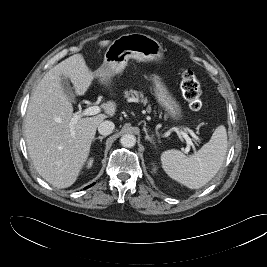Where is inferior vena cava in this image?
Instances as JSON below:
<instances>
[{"label":"inferior vena cava","mask_w":267,"mask_h":267,"mask_svg":"<svg viewBox=\"0 0 267 267\" xmlns=\"http://www.w3.org/2000/svg\"><path fill=\"white\" fill-rule=\"evenodd\" d=\"M115 128V125L113 122L111 121H103L102 123H100V125L98 126V132L101 134V135H109L113 132Z\"/></svg>","instance_id":"1"}]
</instances>
